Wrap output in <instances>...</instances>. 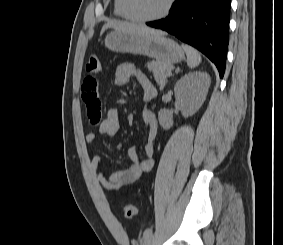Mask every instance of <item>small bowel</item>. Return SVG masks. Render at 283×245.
Returning a JSON list of instances; mask_svg holds the SVG:
<instances>
[{
    "instance_id": "small-bowel-1",
    "label": "small bowel",
    "mask_w": 283,
    "mask_h": 245,
    "mask_svg": "<svg viewBox=\"0 0 283 245\" xmlns=\"http://www.w3.org/2000/svg\"><path fill=\"white\" fill-rule=\"evenodd\" d=\"M134 78L141 86L142 100L145 103L151 101L156 95V89L149 78L141 70L130 63H122L115 70V84L123 86ZM81 97L87 110V116L93 125L98 126L99 133L107 136H115L120 130L118 110L110 108L103 117L101 101L99 97V83L92 75L87 76L81 85ZM143 124L147 131V140L143 147L144 158L140 159L137 148L132 146L127 153L132 164L124 169L117 170L109 176L102 171V157L94 154L90 164L92 177L104 188L118 190L134 183L142 173L148 172L154 165V142L157 136L158 123L155 114L144 107L141 113ZM97 134L90 132L86 135L87 143H94Z\"/></svg>"
}]
</instances>
